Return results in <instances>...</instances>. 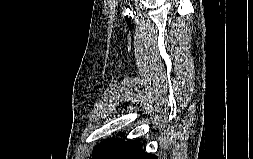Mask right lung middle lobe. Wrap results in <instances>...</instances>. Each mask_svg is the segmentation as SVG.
Returning <instances> with one entry per match:
<instances>
[{
  "label": "right lung middle lobe",
  "mask_w": 253,
  "mask_h": 159,
  "mask_svg": "<svg viewBox=\"0 0 253 159\" xmlns=\"http://www.w3.org/2000/svg\"><path fill=\"white\" fill-rule=\"evenodd\" d=\"M120 141L121 139H115V138L104 140L94 150L92 154V159H98L101 155H103L105 152H107L109 149H111L114 145H116Z\"/></svg>",
  "instance_id": "dd1d6c3e"
}]
</instances>
